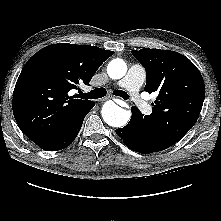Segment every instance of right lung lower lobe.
Masks as SVG:
<instances>
[{"mask_svg":"<svg viewBox=\"0 0 221 221\" xmlns=\"http://www.w3.org/2000/svg\"><path fill=\"white\" fill-rule=\"evenodd\" d=\"M94 105L95 103L91 106V108L86 112L85 115H83L77 122H75L67 130L38 146L46 151H58L69 146L78 135L85 116L87 115V113L90 112V110L94 107Z\"/></svg>","mask_w":221,"mask_h":221,"instance_id":"1","label":"right lung lower lobe"}]
</instances>
